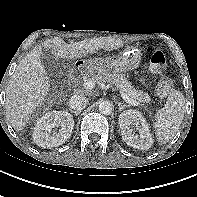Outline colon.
<instances>
[{
    "instance_id": "colon-1",
    "label": "colon",
    "mask_w": 197,
    "mask_h": 197,
    "mask_svg": "<svg viewBox=\"0 0 197 197\" xmlns=\"http://www.w3.org/2000/svg\"><path fill=\"white\" fill-rule=\"evenodd\" d=\"M147 53L149 55L150 67L152 71L159 74L162 73L167 64L165 54L153 46L147 48ZM172 87V81L168 77L162 76L156 88L157 94L160 97H166L170 94Z\"/></svg>"
}]
</instances>
